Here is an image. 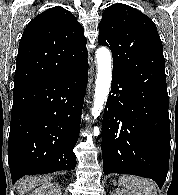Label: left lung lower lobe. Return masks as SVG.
<instances>
[{"mask_svg": "<svg viewBox=\"0 0 178 195\" xmlns=\"http://www.w3.org/2000/svg\"><path fill=\"white\" fill-rule=\"evenodd\" d=\"M168 107V96L113 74L102 122L105 174L138 175L163 186L170 156Z\"/></svg>", "mask_w": 178, "mask_h": 195, "instance_id": "0a47b994", "label": "left lung lower lobe"}]
</instances>
